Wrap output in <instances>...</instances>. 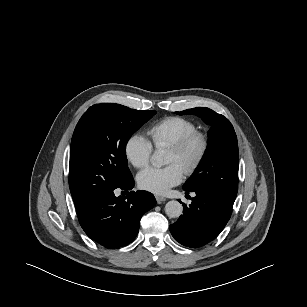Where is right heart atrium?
<instances>
[{
  "label": "right heart atrium",
  "instance_id": "obj_1",
  "mask_svg": "<svg viewBox=\"0 0 307 307\" xmlns=\"http://www.w3.org/2000/svg\"><path fill=\"white\" fill-rule=\"evenodd\" d=\"M152 152L151 142L140 134L132 135L125 145L126 156L136 168L146 167L151 160Z\"/></svg>",
  "mask_w": 307,
  "mask_h": 307
}]
</instances>
